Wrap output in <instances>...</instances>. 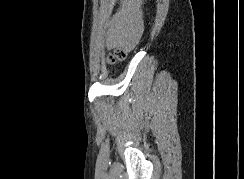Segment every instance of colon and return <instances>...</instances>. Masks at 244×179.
I'll return each mask as SVG.
<instances>
[{
    "instance_id": "colon-1",
    "label": "colon",
    "mask_w": 244,
    "mask_h": 179,
    "mask_svg": "<svg viewBox=\"0 0 244 179\" xmlns=\"http://www.w3.org/2000/svg\"><path fill=\"white\" fill-rule=\"evenodd\" d=\"M125 57H126V53L124 52V50L122 48H117L114 50L113 55H111L110 61L111 62L123 61Z\"/></svg>"
}]
</instances>
